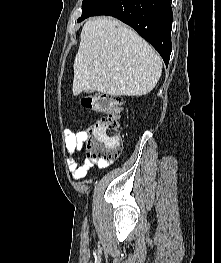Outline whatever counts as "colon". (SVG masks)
I'll return each instance as SVG.
<instances>
[{
	"mask_svg": "<svg viewBox=\"0 0 221 263\" xmlns=\"http://www.w3.org/2000/svg\"><path fill=\"white\" fill-rule=\"evenodd\" d=\"M83 108L102 116L93 122L87 132V155L92 160H109L118 157L121 149L119 129L123 101L110 94L85 95L80 99Z\"/></svg>",
	"mask_w": 221,
	"mask_h": 263,
	"instance_id": "5ec220e1",
	"label": "colon"
}]
</instances>
